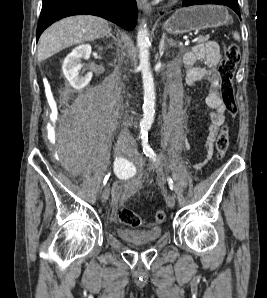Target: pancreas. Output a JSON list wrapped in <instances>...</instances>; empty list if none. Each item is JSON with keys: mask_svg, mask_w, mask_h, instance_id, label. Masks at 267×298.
<instances>
[{"mask_svg": "<svg viewBox=\"0 0 267 298\" xmlns=\"http://www.w3.org/2000/svg\"><path fill=\"white\" fill-rule=\"evenodd\" d=\"M208 40V37H201L199 40H198V43H203L205 41Z\"/></svg>", "mask_w": 267, "mask_h": 298, "instance_id": "1", "label": "pancreas"}]
</instances>
